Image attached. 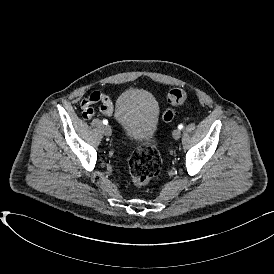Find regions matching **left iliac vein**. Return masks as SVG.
Returning a JSON list of instances; mask_svg holds the SVG:
<instances>
[{
    "instance_id": "4c4485c4",
    "label": "left iliac vein",
    "mask_w": 274,
    "mask_h": 274,
    "mask_svg": "<svg viewBox=\"0 0 274 274\" xmlns=\"http://www.w3.org/2000/svg\"><path fill=\"white\" fill-rule=\"evenodd\" d=\"M172 136L175 140H178L180 137H181V131L180 129H175L173 132H172Z\"/></svg>"
}]
</instances>
